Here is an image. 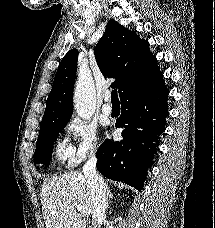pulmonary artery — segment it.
Listing matches in <instances>:
<instances>
[{
	"instance_id": "1",
	"label": "pulmonary artery",
	"mask_w": 215,
	"mask_h": 228,
	"mask_svg": "<svg viewBox=\"0 0 215 228\" xmlns=\"http://www.w3.org/2000/svg\"><path fill=\"white\" fill-rule=\"evenodd\" d=\"M111 101V94L108 92L105 97V104L102 106V112L106 115H110L112 113V105Z\"/></svg>"
}]
</instances>
